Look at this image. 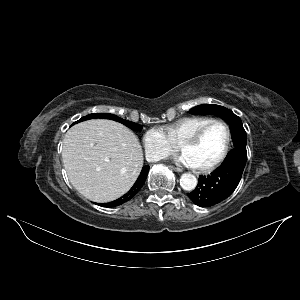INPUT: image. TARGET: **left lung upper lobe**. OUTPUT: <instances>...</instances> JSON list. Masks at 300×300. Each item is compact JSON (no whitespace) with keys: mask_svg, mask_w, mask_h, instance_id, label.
<instances>
[{"mask_svg":"<svg viewBox=\"0 0 300 300\" xmlns=\"http://www.w3.org/2000/svg\"><path fill=\"white\" fill-rule=\"evenodd\" d=\"M190 112L203 115L216 113L229 125L233 137L234 148L246 150V132L243 128L241 119L231 110L219 105L203 104L190 109Z\"/></svg>","mask_w":300,"mask_h":300,"instance_id":"1","label":"left lung upper lobe"}]
</instances>
